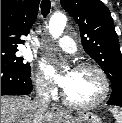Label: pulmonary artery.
I'll return each mask as SVG.
<instances>
[{"instance_id": "e3ab8cb5", "label": "pulmonary artery", "mask_w": 122, "mask_h": 123, "mask_svg": "<svg viewBox=\"0 0 122 123\" xmlns=\"http://www.w3.org/2000/svg\"><path fill=\"white\" fill-rule=\"evenodd\" d=\"M56 43L60 48L68 53H75L77 50L75 41L69 36L61 37Z\"/></svg>"}]
</instances>
